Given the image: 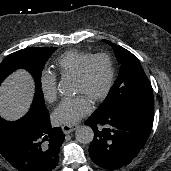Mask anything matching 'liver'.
Returning <instances> with one entry per match:
<instances>
[{
	"mask_svg": "<svg viewBox=\"0 0 171 171\" xmlns=\"http://www.w3.org/2000/svg\"><path fill=\"white\" fill-rule=\"evenodd\" d=\"M34 93V81L29 72L17 70L0 87V115L17 120L29 110Z\"/></svg>",
	"mask_w": 171,
	"mask_h": 171,
	"instance_id": "obj_1",
	"label": "liver"
}]
</instances>
